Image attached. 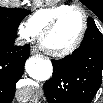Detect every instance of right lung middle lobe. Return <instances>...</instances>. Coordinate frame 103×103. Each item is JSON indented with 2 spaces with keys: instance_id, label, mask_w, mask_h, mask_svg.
Masks as SVG:
<instances>
[{
  "instance_id": "obj_1",
  "label": "right lung middle lobe",
  "mask_w": 103,
  "mask_h": 103,
  "mask_svg": "<svg viewBox=\"0 0 103 103\" xmlns=\"http://www.w3.org/2000/svg\"><path fill=\"white\" fill-rule=\"evenodd\" d=\"M29 13L25 9L0 7V34L16 38L20 22Z\"/></svg>"
}]
</instances>
